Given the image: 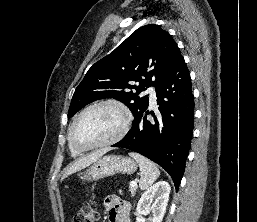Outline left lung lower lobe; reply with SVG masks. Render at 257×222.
<instances>
[{
    "instance_id": "left-lung-lower-lobe-1",
    "label": "left lung lower lobe",
    "mask_w": 257,
    "mask_h": 222,
    "mask_svg": "<svg viewBox=\"0 0 257 222\" xmlns=\"http://www.w3.org/2000/svg\"><path fill=\"white\" fill-rule=\"evenodd\" d=\"M184 58L158 84L160 114L147 120L146 109L138 115L126 136L113 147L137 152L164 168L176 190L189 154L194 120V96Z\"/></svg>"
}]
</instances>
